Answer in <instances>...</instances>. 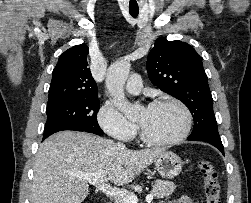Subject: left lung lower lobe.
<instances>
[{
	"mask_svg": "<svg viewBox=\"0 0 251 203\" xmlns=\"http://www.w3.org/2000/svg\"><path fill=\"white\" fill-rule=\"evenodd\" d=\"M189 141H204L212 144L216 148H218L222 154H224V148L220 138H212V137H188Z\"/></svg>",
	"mask_w": 251,
	"mask_h": 203,
	"instance_id": "0a47b994",
	"label": "left lung lower lobe"
}]
</instances>
